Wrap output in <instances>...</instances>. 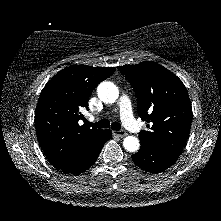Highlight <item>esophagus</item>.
Here are the masks:
<instances>
[{"label":"esophagus","mask_w":221,"mask_h":221,"mask_svg":"<svg viewBox=\"0 0 221 221\" xmlns=\"http://www.w3.org/2000/svg\"><path fill=\"white\" fill-rule=\"evenodd\" d=\"M113 134L119 137H125L127 135L126 131L124 130L113 131Z\"/></svg>","instance_id":"1"}]
</instances>
